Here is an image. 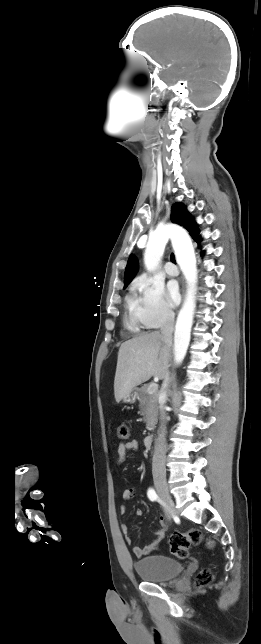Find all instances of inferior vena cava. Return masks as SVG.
<instances>
[{
    "label": "inferior vena cava",
    "mask_w": 261,
    "mask_h": 644,
    "mask_svg": "<svg viewBox=\"0 0 261 644\" xmlns=\"http://www.w3.org/2000/svg\"><path fill=\"white\" fill-rule=\"evenodd\" d=\"M163 323L161 326V334L168 345L172 344V332L174 330L175 315L172 311L166 310L163 315ZM170 382L169 374L167 373L162 384V400L160 402V420H161V434L155 441L154 454L152 459V473L153 475L166 473L165 459H166V438H165V422L167 420L165 404H166V388Z\"/></svg>",
    "instance_id": "602c4592"
}]
</instances>
